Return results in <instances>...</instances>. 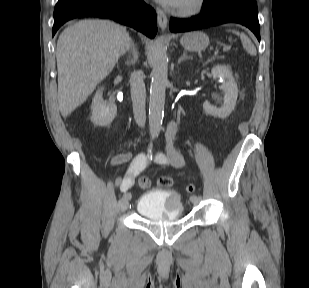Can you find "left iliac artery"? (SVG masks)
I'll use <instances>...</instances> for the list:
<instances>
[{
	"mask_svg": "<svg viewBox=\"0 0 309 288\" xmlns=\"http://www.w3.org/2000/svg\"><path fill=\"white\" fill-rule=\"evenodd\" d=\"M196 198L201 199L200 197H197V196H191V197H190V200H194V199H196Z\"/></svg>",
	"mask_w": 309,
	"mask_h": 288,
	"instance_id": "1",
	"label": "left iliac artery"
}]
</instances>
